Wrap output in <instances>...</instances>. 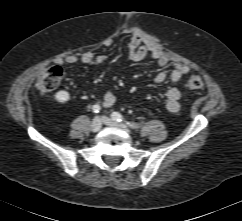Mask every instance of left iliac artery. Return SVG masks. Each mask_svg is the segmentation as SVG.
<instances>
[{"instance_id": "obj_1", "label": "left iliac artery", "mask_w": 242, "mask_h": 221, "mask_svg": "<svg viewBox=\"0 0 242 221\" xmlns=\"http://www.w3.org/2000/svg\"><path fill=\"white\" fill-rule=\"evenodd\" d=\"M111 116H112V119L115 120V121H118V122H122V121H124V122H126V124H127L129 127H131V128H134V129L139 128V124L131 123V122H129V121H126V120L123 118V116H122L120 113H118V112H113Z\"/></svg>"}]
</instances>
